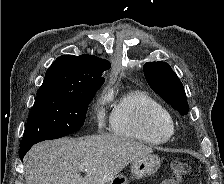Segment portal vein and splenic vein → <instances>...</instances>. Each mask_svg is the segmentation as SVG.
Returning <instances> with one entry per match:
<instances>
[{
  "label": "portal vein and splenic vein",
  "instance_id": "18ae733b",
  "mask_svg": "<svg viewBox=\"0 0 224 184\" xmlns=\"http://www.w3.org/2000/svg\"><path fill=\"white\" fill-rule=\"evenodd\" d=\"M79 170H80V171H84V170L86 171L87 169H86L85 167L81 166V167L79 168Z\"/></svg>",
  "mask_w": 224,
  "mask_h": 184
}]
</instances>
